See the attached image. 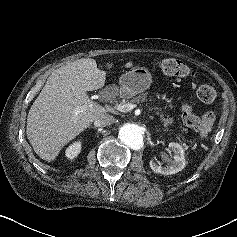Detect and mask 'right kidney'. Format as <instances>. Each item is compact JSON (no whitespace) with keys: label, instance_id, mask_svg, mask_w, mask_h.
Returning <instances> with one entry per match:
<instances>
[{"label":"right kidney","instance_id":"right-kidney-1","mask_svg":"<svg viewBox=\"0 0 237 237\" xmlns=\"http://www.w3.org/2000/svg\"><path fill=\"white\" fill-rule=\"evenodd\" d=\"M81 142L76 141L73 144H71L69 147L66 148L65 150V155L69 159H74L75 157L78 156V154L81 151Z\"/></svg>","mask_w":237,"mask_h":237}]
</instances>
